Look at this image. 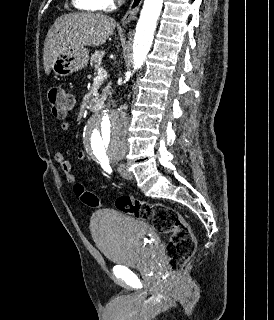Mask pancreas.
<instances>
[{"instance_id":"1","label":"pancreas","mask_w":274,"mask_h":320,"mask_svg":"<svg viewBox=\"0 0 274 320\" xmlns=\"http://www.w3.org/2000/svg\"><path fill=\"white\" fill-rule=\"evenodd\" d=\"M104 56V52H94V54H92L91 58H90V64L92 66V68H95V70H99V68H102V58ZM110 86H107V88H105L106 92L107 90H109Z\"/></svg>"}]
</instances>
